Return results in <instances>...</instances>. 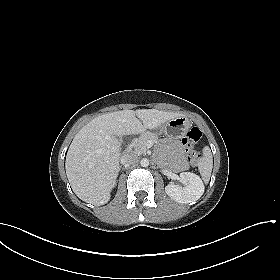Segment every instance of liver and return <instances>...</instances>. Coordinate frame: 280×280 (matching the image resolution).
Wrapping results in <instances>:
<instances>
[{"label":"liver","instance_id":"liver-1","mask_svg":"<svg viewBox=\"0 0 280 280\" xmlns=\"http://www.w3.org/2000/svg\"><path fill=\"white\" fill-rule=\"evenodd\" d=\"M182 116L156 109L122 110L100 115L75 135L66 155V175L74 193L101 206L110 200L121 154L118 136L139 134Z\"/></svg>","mask_w":280,"mask_h":280}]
</instances>
